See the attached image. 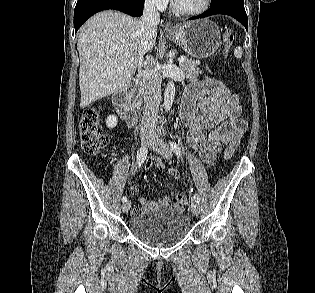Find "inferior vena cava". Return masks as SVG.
Instances as JSON below:
<instances>
[{
    "label": "inferior vena cava",
    "instance_id": "inferior-vena-cava-1",
    "mask_svg": "<svg viewBox=\"0 0 315 293\" xmlns=\"http://www.w3.org/2000/svg\"><path fill=\"white\" fill-rule=\"evenodd\" d=\"M159 22L160 16L154 0H145L144 13L140 22L145 54L153 48V35ZM146 59L148 60V65H152V58L148 56ZM145 65H147V61H144ZM138 76L142 77L144 94V111L140 132L141 134L154 135L156 133V123L161 102V79L154 75L149 67L140 69Z\"/></svg>",
    "mask_w": 315,
    "mask_h": 293
}]
</instances>
